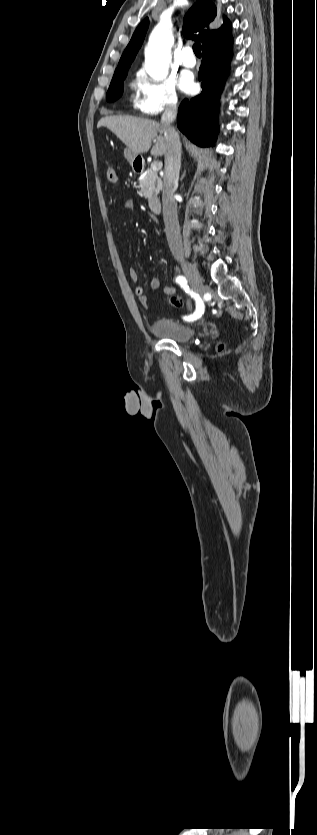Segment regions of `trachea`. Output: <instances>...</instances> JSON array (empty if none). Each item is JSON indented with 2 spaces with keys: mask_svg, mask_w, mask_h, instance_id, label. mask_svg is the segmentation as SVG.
Returning a JSON list of instances; mask_svg holds the SVG:
<instances>
[{
  "mask_svg": "<svg viewBox=\"0 0 317 835\" xmlns=\"http://www.w3.org/2000/svg\"><path fill=\"white\" fill-rule=\"evenodd\" d=\"M193 51L196 56H201L200 42L197 41L196 43H194Z\"/></svg>",
  "mask_w": 317,
  "mask_h": 835,
  "instance_id": "1",
  "label": "trachea"
}]
</instances>
